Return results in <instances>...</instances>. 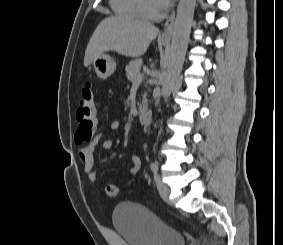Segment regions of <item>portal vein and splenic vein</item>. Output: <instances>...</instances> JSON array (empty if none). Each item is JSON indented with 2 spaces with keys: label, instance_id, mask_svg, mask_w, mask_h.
Listing matches in <instances>:
<instances>
[{
  "label": "portal vein and splenic vein",
  "instance_id": "portal-vein-and-splenic-vein-1",
  "mask_svg": "<svg viewBox=\"0 0 283 245\" xmlns=\"http://www.w3.org/2000/svg\"><path fill=\"white\" fill-rule=\"evenodd\" d=\"M143 78H144V75L141 74V75L135 80V82L139 84V83H141V81L143 80Z\"/></svg>",
  "mask_w": 283,
  "mask_h": 245
}]
</instances>
